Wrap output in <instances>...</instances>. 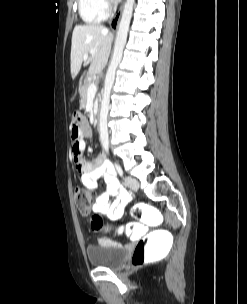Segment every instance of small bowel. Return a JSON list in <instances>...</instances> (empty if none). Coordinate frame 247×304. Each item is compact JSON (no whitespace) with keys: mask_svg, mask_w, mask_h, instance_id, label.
Segmentation results:
<instances>
[{"mask_svg":"<svg viewBox=\"0 0 247 304\" xmlns=\"http://www.w3.org/2000/svg\"><path fill=\"white\" fill-rule=\"evenodd\" d=\"M71 118L81 119L82 113L72 112ZM70 124V141H72L70 151L82 185L88 190H95L103 180L106 186L105 190L96 197L93 210L111 219H120L131 202V195L121 188L114 167L104 154H99L92 160L83 159L84 137L91 135L89 126L82 120H71Z\"/></svg>","mask_w":247,"mask_h":304,"instance_id":"1","label":"small bowel"}]
</instances>
